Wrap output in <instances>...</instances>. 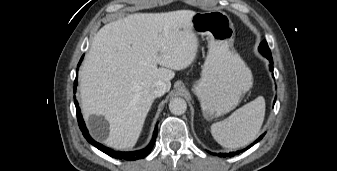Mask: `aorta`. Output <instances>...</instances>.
Segmentation results:
<instances>
[{
  "label": "aorta",
  "instance_id": "1",
  "mask_svg": "<svg viewBox=\"0 0 337 171\" xmlns=\"http://www.w3.org/2000/svg\"><path fill=\"white\" fill-rule=\"evenodd\" d=\"M169 110L174 115H182L187 110V103L183 98H173L170 100Z\"/></svg>",
  "mask_w": 337,
  "mask_h": 171
}]
</instances>
